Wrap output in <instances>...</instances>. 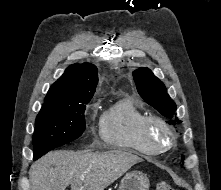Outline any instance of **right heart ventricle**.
I'll return each mask as SVG.
<instances>
[{
    "mask_svg": "<svg viewBox=\"0 0 221 190\" xmlns=\"http://www.w3.org/2000/svg\"><path fill=\"white\" fill-rule=\"evenodd\" d=\"M146 115L133 98H117L100 116L101 139L117 149L153 155L155 152L144 141L141 131V124Z\"/></svg>",
    "mask_w": 221,
    "mask_h": 190,
    "instance_id": "right-heart-ventricle-1",
    "label": "right heart ventricle"
}]
</instances>
